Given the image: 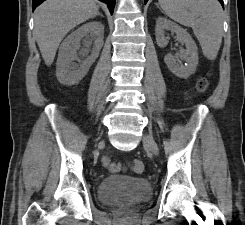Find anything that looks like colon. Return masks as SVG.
<instances>
[{"label":"colon","instance_id":"obj_1","mask_svg":"<svg viewBox=\"0 0 245 225\" xmlns=\"http://www.w3.org/2000/svg\"><path fill=\"white\" fill-rule=\"evenodd\" d=\"M198 91L203 92L207 88V81L201 80L198 83ZM104 164L111 170H115L118 168V166L114 163H112L109 159H104ZM130 169L135 173H142L144 171V164L140 160H133L130 162Z\"/></svg>","mask_w":245,"mask_h":225}]
</instances>
